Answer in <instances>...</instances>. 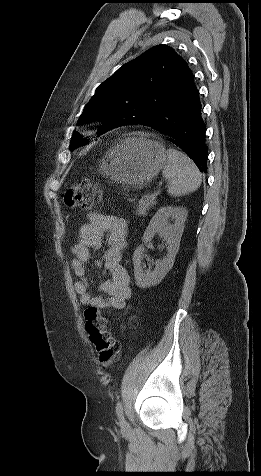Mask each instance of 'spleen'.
I'll return each mask as SVG.
<instances>
[{"label":"spleen","instance_id":"spleen-1","mask_svg":"<svg viewBox=\"0 0 261 476\" xmlns=\"http://www.w3.org/2000/svg\"><path fill=\"white\" fill-rule=\"evenodd\" d=\"M166 155L162 175L168 182V194L178 197L196 191L201 185L202 175L195 163L175 149H168Z\"/></svg>","mask_w":261,"mask_h":476}]
</instances>
